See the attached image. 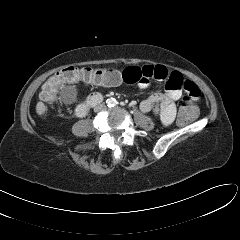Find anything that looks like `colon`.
<instances>
[{
    "label": "colon",
    "instance_id": "obj_1",
    "mask_svg": "<svg viewBox=\"0 0 240 240\" xmlns=\"http://www.w3.org/2000/svg\"><path fill=\"white\" fill-rule=\"evenodd\" d=\"M118 73L113 69H95L90 67H67L51 76L42 86L40 97L46 103H53L57 98V88L67 82L82 81L98 84L105 80H114ZM197 116V107L190 97H184L179 110V122L186 124Z\"/></svg>",
    "mask_w": 240,
    "mask_h": 240
}]
</instances>
